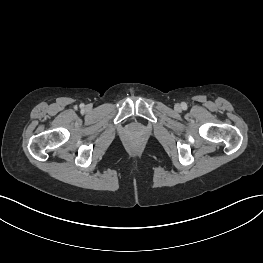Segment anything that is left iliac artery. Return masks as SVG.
<instances>
[{"label":"left iliac artery","mask_w":263,"mask_h":263,"mask_svg":"<svg viewBox=\"0 0 263 263\" xmlns=\"http://www.w3.org/2000/svg\"><path fill=\"white\" fill-rule=\"evenodd\" d=\"M182 108L185 109L187 107L186 103H182Z\"/></svg>","instance_id":"obj_1"}]
</instances>
